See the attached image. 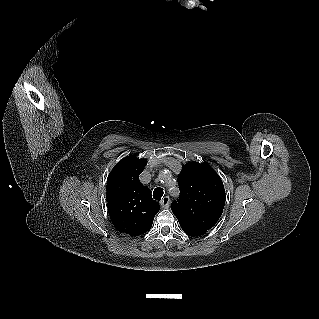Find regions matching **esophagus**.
<instances>
[{
  "label": "esophagus",
  "instance_id": "esophagus-1",
  "mask_svg": "<svg viewBox=\"0 0 319 319\" xmlns=\"http://www.w3.org/2000/svg\"><path fill=\"white\" fill-rule=\"evenodd\" d=\"M162 208H169L170 205V198L168 196H164L160 202Z\"/></svg>",
  "mask_w": 319,
  "mask_h": 319
}]
</instances>
